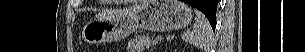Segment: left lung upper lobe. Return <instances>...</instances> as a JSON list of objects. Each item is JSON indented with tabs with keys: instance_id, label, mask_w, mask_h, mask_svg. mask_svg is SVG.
Segmentation results:
<instances>
[{
	"instance_id": "1",
	"label": "left lung upper lobe",
	"mask_w": 305,
	"mask_h": 52,
	"mask_svg": "<svg viewBox=\"0 0 305 52\" xmlns=\"http://www.w3.org/2000/svg\"><path fill=\"white\" fill-rule=\"evenodd\" d=\"M216 10H207V9L204 10V14L208 18V20L211 23V25L215 24Z\"/></svg>"
}]
</instances>
